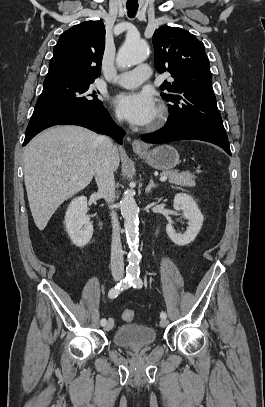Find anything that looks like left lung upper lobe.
I'll use <instances>...</instances> for the list:
<instances>
[{
  "label": "left lung upper lobe",
  "mask_w": 265,
  "mask_h": 407,
  "mask_svg": "<svg viewBox=\"0 0 265 407\" xmlns=\"http://www.w3.org/2000/svg\"><path fill=\"white\" fill-rule=\"evenodd\" d=\"M155 67L174 81L163 82L161 96L169 104L166 126L193 125L227 136L216 97L204 44L178 27H160L152 38Z\"/></svg>",
  "instance_id": "obj_1"
}]
</instances>
